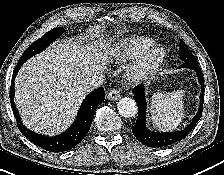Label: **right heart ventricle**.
Returning <instances> with one entry per match:
<instances>
[{
	"label": "right heart ventricle",
	"mask_w": 224,
	"mask_h": 175,
	"mask_svg": "<svg viewBox=\"0 0 224 175\" xmlns=\"http://www.w3.org/2000/svg\"><path fill=\"white\" fill-rule=\"evenodd\" d=\"M154 41L145 36H131L116 42L109 50V58L117 62H125L136 58L142 51L153 45Z\"/></svg>",
	"instance_id": "right-heart-ventricle-1"
}]
</instances>
